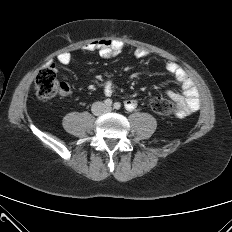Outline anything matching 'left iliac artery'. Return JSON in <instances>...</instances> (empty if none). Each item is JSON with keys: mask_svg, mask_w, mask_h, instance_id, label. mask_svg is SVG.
Wrapping results in <instances>:
<instances>
[{"mask_svg": "<svg viewBox=\"0 0 232 232\" xmlns=\"http://www.w3.org/2000/svg\"><path fill=\"white\" fill-rule=\"evenodd\" d=\"M120 107H121V104L119 103V102H116V103H114V108L115 109H120Z\"/></svg>", "mask_w": 232, "mask_h": 232, "instance_id": "1", "label": "left iliac artery"}]
</instances>
